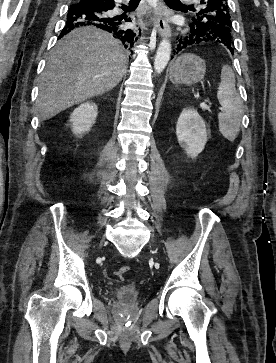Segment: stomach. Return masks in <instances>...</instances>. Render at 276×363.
Listing matches in <instances>:
<instances>
[{
    "label": "stomach",
    "instance_id": "stomach-1",
    "mask_svg": "<svg viewBox=\"0 0 276 363\" xmlns=\"http://www.w3.org/2000/svg\"><path fill=\"white\" fill-rule=\"evenodd\" d=\"M206 73L203 59L194 54L179 56L171 66L169 78L174 84L193 85L201 82Z\"/></svg>",
    "mask_w": 276,
    "mask_h": 363
}]
</instances>
